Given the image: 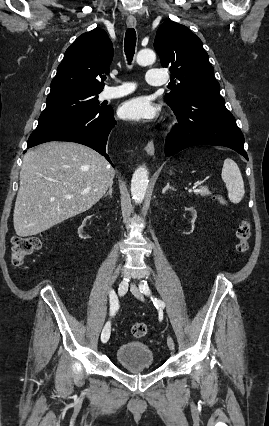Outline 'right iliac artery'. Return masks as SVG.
I'll return each instance as SVG.
<instances>
[{
    "label": "right iliac artery",
    "mask_w": 269,
    "mask_h": 426,
    "mask_svg": "<svg viewBox=\"0 0 269 426\" xmlns=\"http://www.w3.org/2000/svg\"><path fill=\"white\" fill-rule=\"evenodd\" d=\"M109 297H110V314L114 315L115 312L119 309V301L114 290L110 291Z\"/></svg>",
    "instance_id": "82829eb1"
}]
</instances>
